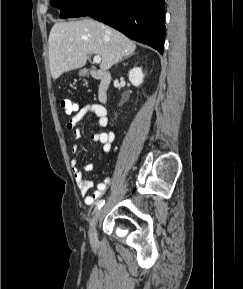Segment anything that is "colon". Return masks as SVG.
Listing matches in <instances>:
<instances>
[{
  "instance_id": "colon-1",
  "label": "colon",
  "mask_w": 243,
  "mask_h": 289,
  "mask_svg": "<svg viewBox=\"0 0 243 289\" xmlns=\"http://www.w3.org/2000/svg\"><path fill=\"white\" fill-rule=\"evenodd\" d=\"M61 108L65 114L70 115L77 111L78 104L71 99H63L61 101Z\"/></svg>"
}]
</instances>
